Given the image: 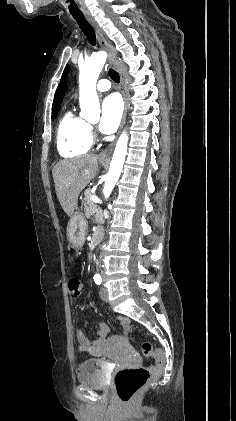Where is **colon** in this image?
Instances as JSON below:
<instances>
[{"label": "colon", "instance_id": "5ec220e1", "mask_svg": "<svg viewBox=\"0 0 236 421\" xmlns=\"http://www.w3.org/2000/svg\"><path fill=\"white\" fill-rule=\"evenodd\" d=\"M70 294L74 298L82 295L84 286L77 277H71L68 282ZM144 356H153L154 364L150 366L126 367L118 370L114 376V385L120 400L129 402L135 392L139 390L151 377L159 375L165 364V357L161 350H154L152 344L145 342L141 346Z\"/></svg>", "mask_w": 236, "mask_h": 421}]
</instances>
